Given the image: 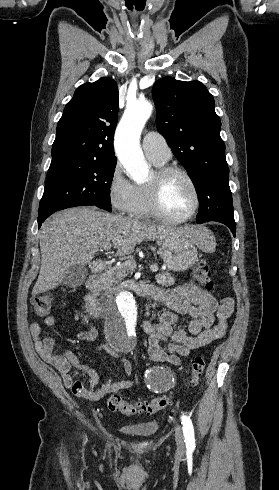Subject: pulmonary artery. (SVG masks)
Masks as SVG:
<instances>
[{"mask_svg": "<svg viewBox=\"0 0 279 490\" xmlns=\"http://www.w3.org/2000/svg\"><path fill=\"white\" fill-rule=\"evenodd\" d=\"M142 148L146 157L157 164H164L172 156L166 139L155 130L147 131L144 134Z\"/></svg>", "mask_w": 279, "mask_h": 490, "instance_id": "e3ab8cb5", "label": "pulmonary artery"}]
</instances>
